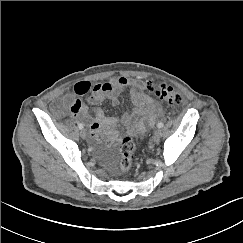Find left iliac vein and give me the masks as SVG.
Masks as SVG:
<instances>
[{"label": "left iliac vein", "instance_id": "obj_1", "mask_svg": "<svg viewBox=\"0 0 243 243\" xmlns=\"http://www.w3.org/2000/svg\"><path fill=\"white\" fill-rule=\"evenodd\" d=\"M161 134H162L161 130L160 129H156L154 134H153L152 140L154 142H158L160 140V138H161Z\"/></svg>", "mask_w": 243, "mask_h": 243}]
</instances>
